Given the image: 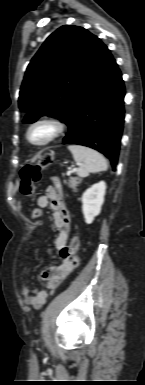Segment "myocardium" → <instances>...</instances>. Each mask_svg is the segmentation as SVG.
Returning <instances> with one entry per match:
<instances>
[{
	"mask_svg": "<svg viewBox=\"0 0 145 385\" xmlns=\"http://www.w3.org/2000/svg\"><path fill=\"white\" fill-rule=\"evenodd\" d=\"M39 127H47L50 129V134L42 141H34L31 138L32 132ZM65 131V125L54 117H41L33 121L26 130V140L34 147H44L59 138Z\"/></svg>",
	"mask_w": 145,
	"mask_h": 385,
	"instance_id": "1",
	"label": "myocardium"
}]
</instances>
